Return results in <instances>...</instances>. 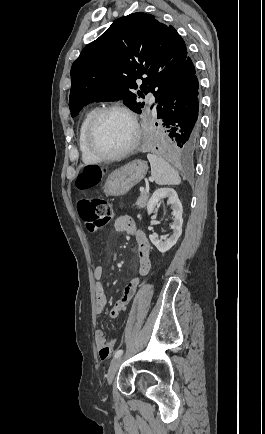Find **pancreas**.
Instances as JSON below:
<instances>
[{
    "label": "pancreas",
    "mask_w": 265,
    "mask_h": 434,
    "mask_svg": "<svg viewBox=\"0 0 265 434\" xmlns=\"http://www.w3.org/2000/svg\"><path fill=\"white\" fill-rule=\"evenodd\" d=\"M148 198L149 192H141L135 206H137V208H145Z\"/></svg>",
    "instance_id": "cf45deb5"
}]
</instances>
